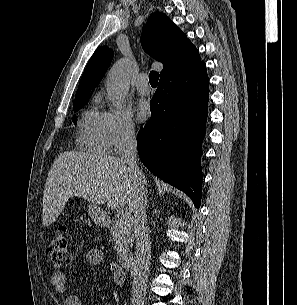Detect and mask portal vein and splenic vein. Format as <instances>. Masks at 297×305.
Returning <instances> with one entry per match:
<instances>
[{"label": "portal vein and splenic vein", "instance_id": "obj_1", "mask_svg": "<svg viewBox=\"0 0 297 305\" xmlns=\"http://www.w3.org/2000/svg\"><path fill=\"white\" fill-rule=\"evenodd\" d=\"M119 218H121V219H128L129 218V214L127 212H122L120 214Z\"/></svg>", "mask_w": 297, "mask_h": 305}]
</instances>
